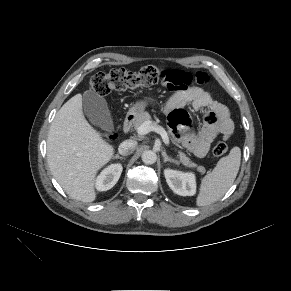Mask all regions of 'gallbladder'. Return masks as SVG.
Masks as SVG:
<instances>
[{
    "mask_svg": "<svg viewBox=\"0 0 291 291\" xmlns=\"http://www.w3.org/2000/svg\"><path fill=\"white\" fill-rule=\"evenodd\" d=\"M83 109L89 122L106 131H113L114 124L106 100L94 91H88L83 97Z\"/></svg>",
    "mask_w": 291,
    "mask_h": 291,
    "instance_id": "obj_1",
    "label": "gallbladder"
}]
</instances>
